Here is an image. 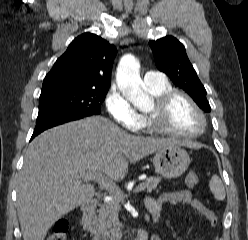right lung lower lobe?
Here are the masks:
<instances>
[{
    "mask_svg": "<svg viewBox=\"0 0 248 240\" xmlns=\"http://www.w3.org/2000/svg\"><path fill=\"white\" fill-rule=\"evenodd\" d=\"M83 118V116H63V115H45V116H38L36 121V126L31 137V140L43 132L46 129L51 127Z\"/></svg>",
    "mask_w": 248,
    "mask_h": 240,
    "instance_id": "right-lung-lower-lobe-1",
    "label": "right lung lower lobe"
}]
</instances>
